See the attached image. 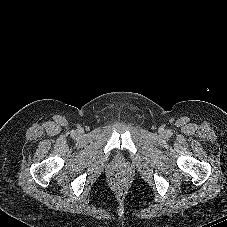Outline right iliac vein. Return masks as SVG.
I'll return each mask as SVG.
<instances>
[{"instance_id":"63e3f726","label":"right iliac vein","mask_w":227,"mask_h":227,"mask_svg":"<svg viewBox=\"0 0 227 227\" xmlns=\"http://www.w3.org/2000/svg\"><path fill=\"white\" fill-rule=\"evenodd\" d=\"M77 134H78V135H81V131H78Z\"/></svg>"}]
</instances>
